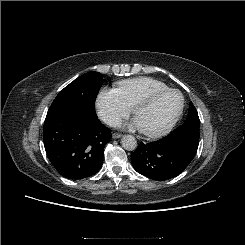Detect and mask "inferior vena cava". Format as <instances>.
I'll return each instance as SVG.
<instances>
[{"mask_svg":"<svg viewBox=\"0 0 245 245\" xmlns=\"http://www.w3.org/2000/svg\"><path fill=\"white\" fill-rule=\"evenodd\" d=\"M106 124L111 127H119L121 125V120L118 117H109L106 119Z\"/></svg>","mask_w":245,"mask_h":245,"instance_id":"602c4592","label":"inferior vena cava"}]
</instances>
